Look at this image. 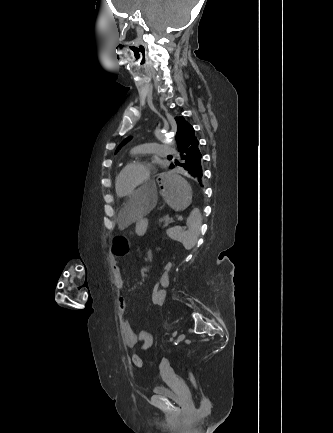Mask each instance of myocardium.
<instances>
[{"label":"myocardium","mask_w":333,"mask_h":433,"mask_svg":"<svg viewBox=\"0 0 333 433\" xmlns=\"http://www.w3.org/2000/svg\"><path fill=\"white\" fill-rule=\"evenodd\" d=\"M132 168H142L145 172L144 177H143L142 181L135 187L134 190H132L131 192H128L126 194H123L119 190V180L125 172H127L128 170H130ZM151 171H152V166L150 165V163H148L146 161H135V162L127 164L116 177V180H115L116 192L118 194H123L124 196L133 195L138 189L146 186L149 183Z\"/></svg>","instance_id":"f54148a6"}]
</instances>
